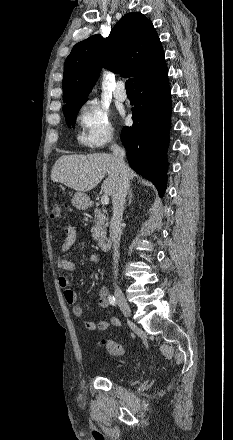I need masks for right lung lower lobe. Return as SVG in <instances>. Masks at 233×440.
Returning a JSON list of instances; mask_svg holds the SVG:
<instances>
[{
    "label": "right lung lower lobe",
    "instance_id": "obj_1",
    "mask_svg": "<svg viewBox=\"0 0 233 440\" xmlns=\"http://www.w3.org/2000/svg\"><path fill=\"white\" fill-rule=\"evenodd\" d=\"M168 70L164 66L135 86L133 125L124 127L121 141L132 169L152 181L163 196L167 185V148L171 115Z\"/></svg>",
    "mask_w": 233,
    "mask_h": 440
}]
</instances>
